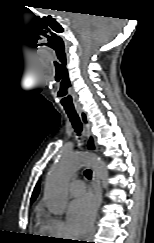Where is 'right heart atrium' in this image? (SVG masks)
<instances>
[{"mask_svg":"<svg viewBox=\"0 0 154 243\" xmlns=\"http://www.w3.org/2000/svg\"><path fill=\"white\" fill-rule=\"evenodd\" d=\"M43 224L47 233L54 238L65 239L72 237L66 223L57 216L45 215Z\"/></svg>","mask_w":154,"mask_h":243,"instance_id":"d8ad5b80","label":"right heart atrium"}]
</instances>
